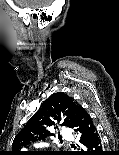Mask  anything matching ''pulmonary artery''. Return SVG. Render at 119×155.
Segmentation results:
<instances>
[{"label":"pulmonary artery","mask_w":119,"mask_h":155,"mask_svg":"<svg viewBox=\"0 0 119 155\" xmlns=\"http://www.w3.org/2000/svg\"><path fill=\"white\" fill-rule=\"evenodd\" d=\"M61 135L64 138H70L71 137L70 132L67 129H65V128L61 130Z\"/></svg>","instance_id":"pulmonary-artery-1"}]
</instances>
